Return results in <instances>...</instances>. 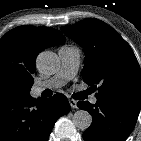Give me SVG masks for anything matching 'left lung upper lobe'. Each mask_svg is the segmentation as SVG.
<instances>
[{
  "label": "left lung upper lobe",
  "mask_w": 141,
  "mask_h": 141,
  "mask_svg": "<svg viewBox=\"0 0 141 141\" xmlns=\"http://www.w3.org/2000/svg\"><path fill=\"white\" fill-rule=\"evenodd\" d=\"M61 30L83 47V80L97 99L141 104V70L129 44L108 24L85 19Z\"/></svg>",
  "instance_id": "left-lung-upper-lobe-1"
}]
</instances>
